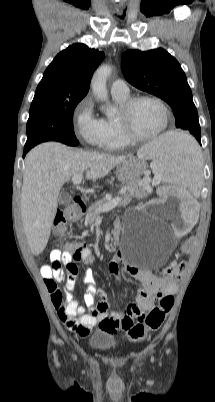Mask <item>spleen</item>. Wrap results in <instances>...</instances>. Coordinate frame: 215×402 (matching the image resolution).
<instances>
[{"instance_id": "3e777b00", "label": "spleen", "mask_w": 215, "mask_h": 402, "mask_svg": "<svg viewBox=\"0 0 215 402\" xmlns=\"http://www.w3.org/2000/svg\"><path fill=\"white\" fill-rule=\"evenodd\" d=\"M142 159H152V168L161 173L166 182L183 186L185 193H194L200 187V151L195 133L184 128H171L170 132L145 145L138 151Z\"/></svg>"}]
</instances>
